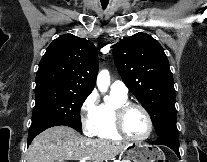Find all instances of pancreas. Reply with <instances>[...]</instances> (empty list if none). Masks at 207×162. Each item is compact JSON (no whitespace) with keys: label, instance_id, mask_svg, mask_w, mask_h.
<instances>
[{"label":"pancreas","instance_id":"pancreas-1","mask_svg":"<svg viewBox=\"0 0 207 162\" xmlns=\"http://www.w3.org/2000/svg\"><path fill=\"white\" fill-rule=\"evenodd\" d=\"M123 162H130V161H127V160H126V161H123Z\"/></svg>","mask_w":207,"mask_h":162}]
</instances>
